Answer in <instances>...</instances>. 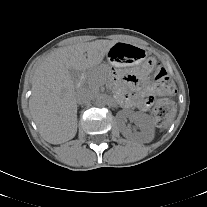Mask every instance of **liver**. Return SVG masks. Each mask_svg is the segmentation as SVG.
Returning a JSON list of instances; mask_svg holds the SVG:
<instances>
[{"instance_id":"1","label":"liver","mask_w":207,"mask_h":207,"mask_svg":"<svg viewBox=\"0 0 207 207\" xmlns=\"http://www.w3.org/2000/svg\"><path fill=\"white\" fill-rule=\"evenodd\" d=\"M115 43L95 40L58 48L35 69L31 78L29 110L44 140L61 144L75 137L77 103L70 70L95 68Z\"/></svg>"}]
</instances>
